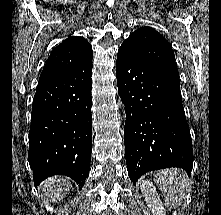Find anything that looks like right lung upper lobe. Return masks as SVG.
Returning <instances> with one entry per match:
<instances>
[{"instance_id":"obj_1","label":"right lung upper lobe","mask_w":221,"mask_h":215,"mask_svg":"<svg viewBox=\"0 0 221 215\" xmlns=\"http://www.w3.org/2000/svg\"><path fill=\"white\" fill-rule=\"evenodd\" d=\"M92 58V47L86 39L70 36L50 54L39 78V83L64 76Z\"/></svg>"}]
</instances>
